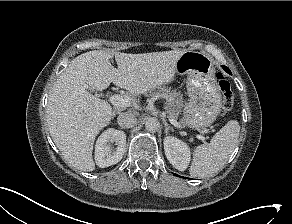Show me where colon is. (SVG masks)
<instances>
[{
	"instance_id": "obj_1",
	"label": "colon",
	"mask_w": 292,
	"mask_h": 224,
	"mask_svg": "<svg viewBox=\"0 0 292 224\" xmlns=\"http://www.w3.org/2000/svg\"><path fill=\"white\" fill-rule=\"evenodd\" d=\"M216 77L223 96L221 110L225 114L232 108L234 99L233 91L230 82L221 72H218Z\"/></svg>"
}]
</instances>
